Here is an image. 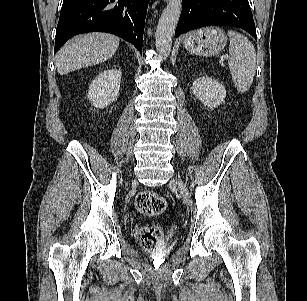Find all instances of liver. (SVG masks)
Masks as SVG:
<instances>
[{
  "instance_id": "6515ba94",
  "label": "liver",
  "mask_w": 307,
  "mask_h": 301,
  "mask_svg": "<svg viewBox=\"0 0 307 301\" xmlns=\"http://www.w3.org/2000/svg\"><path fill=\"white\" fill-rule=\"evenodd\" d=\"M119 47V38L93 32L76 36L68 41L57 53L56 68L60 75L88 67L111 58Z\"/></svg>"
}]
</instances>
